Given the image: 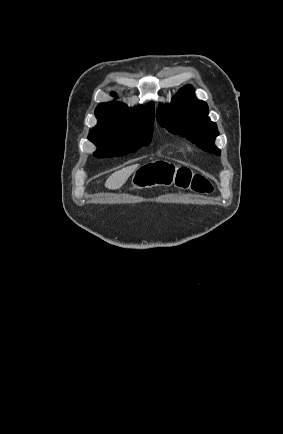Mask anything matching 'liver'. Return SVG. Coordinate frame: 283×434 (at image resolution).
Masks as SVG:
<instances>
[{
  "mask_svg": "<svg viewBox=\"0 0 283 434\" xmlns=\"http://www.w3.org/2000/svg\"><path fill=\"white\" fill-rule=\"evenodd\" d=\"M138 168L139 164H134L114 172L106 180L105 187L111 190L119 189Z\"/></svg>",
  "mask_w": 283,
  "mask_h": 434,
  "instance_id": "obj_1",
  "label": "liver"
}]
</instances>
